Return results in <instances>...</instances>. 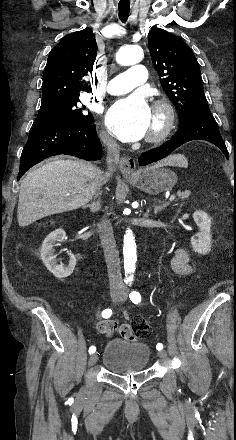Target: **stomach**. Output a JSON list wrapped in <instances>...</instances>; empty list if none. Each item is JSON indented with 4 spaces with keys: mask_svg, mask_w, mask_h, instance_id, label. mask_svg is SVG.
I'll use <instances>...</instances> for the list:
<instances>
[{
    "mask_svg": "<svg viewBox=\"0 0 236 440\" xmlns=\"http://www.w3.org/2000/svg\"><path fill=\"white\" fill-rule=\"evenodd\" d=\"M138 189L148 194H158L171 189L177 183V175L164 167L139 170L134 176H125Z\"/></svg>",
    "mask_w": 236,
    "mask_h": 440,
    "instance_id": "0dacf381",
    "label": "stomach"
}]
</instances>
